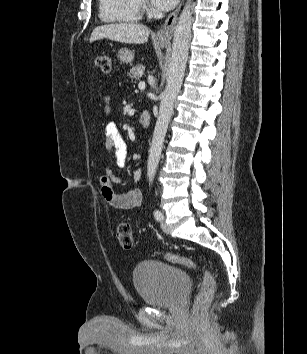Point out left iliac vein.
<instances>
[{"mask_svg":"<svg viewBox=\"0 0 307 354\" xmlns=\"http://www.w3.org/2000/svg\"><path fill=\"white\" fill-rule=\"evenodd\" d=\"M161 228L165 233H169V227L164 221V216L162 217V220H161Z\"/></svg>","mask_w":307,"mask_h":354,"instance_id":"obj_1","label":"left iliac vein"}]
</instances>
